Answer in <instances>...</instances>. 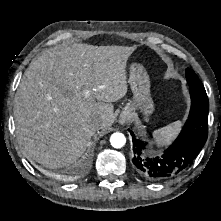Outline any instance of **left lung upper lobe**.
Returning a JSON list of instances; mask_svg holds the SVG:
<instances>
[{"label": "left lung upper lobe", "mask_w": 221, "mask_h": 221, "mask_svg": "<svg viewBox=\"0 0 221 221\" xmlns=\"http://www.w3.org/2000/svg\"><path fill=\"white\" fill-rule=\"evenodd\" d=\"M186 79L191 88L205 91L203 84L199 80L198 76L190 68L186 69Z\"/></svg>", "instance_id": "obj_1"}]
</instances>
